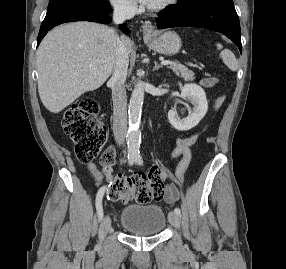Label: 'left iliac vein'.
Returning a JSON list of instances; mask_svg holds the SVG:
<instances>
[{
  "mask_svg": "<svg viewBox=\"0 0 286 269\" xmlns=\"http://www.w3.org/2000/svg\"><path fill=\"white\" fill-rule=\"evenodd\" d=\"M169 222L176 228L180 226V217L175 212H170L168 215Z\"/></svg>",
  "mask_w": 286,
  "mask_h": 269,
  "instance_id": "4c4485c4",
  "label": "left iliac vein"
}]
</instances>
